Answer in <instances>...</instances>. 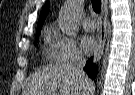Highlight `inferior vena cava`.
<instances>
[{"label":"inferior vena cava","instance_id":"inferior-vena-cava-1","mask_svg":"<svg viewBox=\"0 0 135 95\" xmlns=\"http://www.w3.org/2000/svg\"><path fill=\"white\" fill-rule=\"evenodd\" d=\"M70 68L77 74H79L84 81H87L88 77L84 72L83 68L85 66V59L80 53H75L72 57L70 64Z\"/></svg>","mask_w":135,"mask_h":95}]
</instances>
